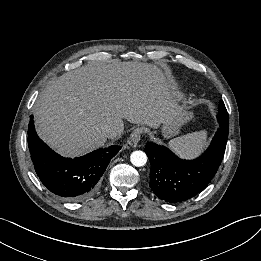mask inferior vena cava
<instances>
[{
	"instance_id": "obj_1",
	"label": "inferior vena cava",
	"mask_w": 261,
	"mask_h": 261,
	"mask_svg": "<svg viewBox=\"0 0 261 261\" xmlns=\"http://www.w3.org/2000/svg\"><path fill=\"white\" fill-rule=\"evenodd\" d=\"M104 133L108 138H115L121 135L122 129L118 126L110 125L104 128Z\"/></svg>"
}]
</instances>
